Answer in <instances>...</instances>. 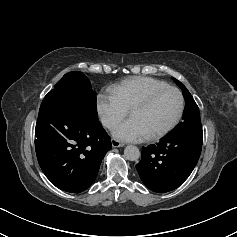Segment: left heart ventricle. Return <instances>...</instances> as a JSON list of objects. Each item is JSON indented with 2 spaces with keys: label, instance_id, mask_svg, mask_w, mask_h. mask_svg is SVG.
Wrapping results in <instances>:
<instances>
[{
  "label": "left heart ventricle",
  "instance_id": "obj_1",
  "mask_svg": "<svg viewBox=\"0 0 237 237\" xmlns=\"http://www.w3.org/2000/svg\"><path fill=\"white\" fill-rule=\"evenodd\" d=\"M179 107V97L172 90L158 94L149 105L130 112L145 134L150 136L166 127L174 118Z\"/></svg>",
  "mask_w": 237,
  "mask_h": 237
}]
</instances>
